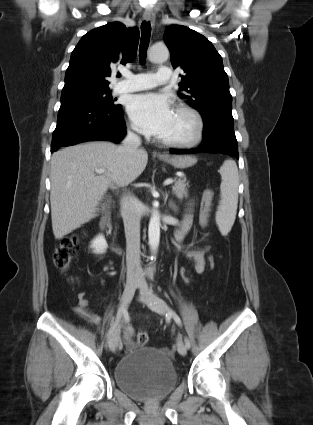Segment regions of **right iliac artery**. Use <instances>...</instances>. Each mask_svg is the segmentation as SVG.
I'll return each mask as SVG.
<instances>
[{
	"instance_id": "obj_1",
	"label": "right iliac artery",
	"mask_w": 313,
	"mask_h": 425,
	"mask_svg": "<svg viewBox=\"0 0 313 425\" xmlns=\"http://www.w3.org/2000/svg\"><path fill=\"white\" fill-rule=\"evenodd\" d=\"M122 313H123V309H120L119 312H118V314H117V316H116L115 321L113 322V324L111 325V327H110V329H109V331L107 333V339H109V337L111 336V334L114 331L115 327L117 326V324H118V322H119V320L121 318Z\"/></svg>"
}]
</instances>
